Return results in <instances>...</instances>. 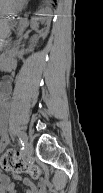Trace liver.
<instances>
[{
  "label": "liver",
  "mask_w": 103,
  "mask_h": 193,
  "mask_svg": "<svg viewBox=\"0 0 103 193\" xmlns=\"http://www.w3.org/2000/svg\"><path fill=\"white\" fill-rule=\"evenodd\" d=\"M4 2H5V0L0 1L1 7H3Z\"/></svg>",
  "instance_id": "liver-1"
}]
</instances>
